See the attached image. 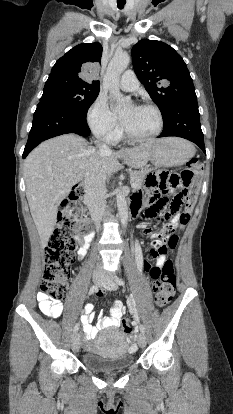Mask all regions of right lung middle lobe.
Wrapping results in <instances>:
<instances>
[{
	"mask_svg": "<svg viewBox=\"0 0 233 414\" xmlns=\"http://www.w3.org/2000/svg\"><path fill=\"white\" fill-rule=\"evenodd\" d=\"M99 89V85L52 77L46 81L40 102H52L86 115Z\"/></svg>",
	"mask_w": 233,
	"mask_h": 414,
	"instance_id": "obj_1",
	"label": "right lung middle lobe"
}]
</instances>
